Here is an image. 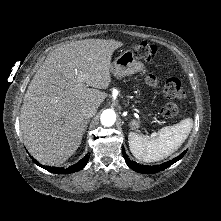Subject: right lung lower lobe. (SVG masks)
I'll return each instance as SVG.
<instances>
[{
  "label": "right lung lower lobe",
  "mask_w": 221,
  "mask_h": 221,
  "mask_svg": "<svg viewBox=\"0 0 221 221\" xmlns=\"http://www.w3.org/2000/svg\"><path fill=\"white\" fill-rule=\"evenodd\" d=\"M31 157V156H30ZM32 158V157H31ZM33 159V158H32ZM89 160V155H85L84 158H82L77 164H74L66 169L64 168H59V167H50V166H44V165H41L39 164L36 160L33 159V161L41 166L42 168L48 170L49 172H52V173H56V174H69V173H73V172H77L81 169H83L87 162Z\"/></svg>",
  "instance_id": "1"
}]
</instances>
